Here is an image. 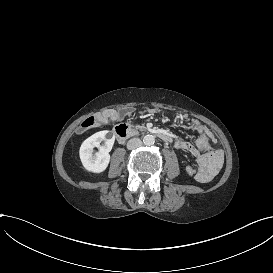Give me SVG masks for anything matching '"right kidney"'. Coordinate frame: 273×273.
<instances>
[{"instance_id": "1", "label": "right kidney", "mask_w": 273, "mask_h": 273, "mask_svg": "<svg viewBox=\"0 0 273 273\" xmlns=\"http://www.w3.org/2000/svg\"><path fill=\"white\" fill-rule=\"evenodd\" d=\"M115 139L116 136L111 131L103 130L91 135L82 143L79 156L86 171L93 174L106 171L111 159L108 152L111 151ZM101 142H104V147H101L100 151L94 155L95 148H98Z\"/></svg>"}]
</instances>
